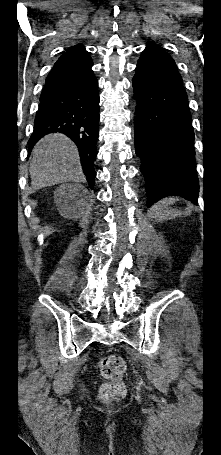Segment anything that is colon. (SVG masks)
Wrapping results in <instances>:
<instances>
[{
  "instance_id": "1",
  "label": "colon",
  "mask_w": 221,
  "mask_h": 455,
  "mask_svg": "<svg viewBox=\"0 0 221 455\" xmlns=\"http://www.w3.org/2000/svg\"><path fill=\"white\" fill-rule=\"evenodd\" d=\"M101 375L107 380L100 388V398L104 402L121 399L125 394V385L122 377L126 370V364L118 355H108L99 363Z\"/></svg>"
}]
</instances>
